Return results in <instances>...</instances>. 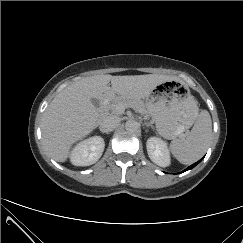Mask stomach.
I'll return each mask as SVG.
<instances>
[{"mask_svg": "<svg viewBox=\"0 0 243 243\" xmlns=\"http://www.w3.org/2000/svg\"><path fill=\"white\" fill-rule=\"evenodd\" d=\"M146 108L157 132L166 139L181 136L192 126L198 113L189 88L170 81L152 90L146 98Z\"/></svg>", "mask_w": 243, "mask_h": 243, "instance_id": "1", "label": "stomach"}]
</instances>
